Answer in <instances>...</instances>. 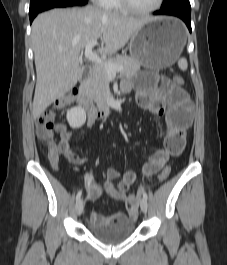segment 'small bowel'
<instances>
[{
	"label": "small bowel",
	"instance_id": "obj_1",
	"mask_svg": "<svg viewBox=\"0 0 227 265\" xmlns=\"http://www.w3.org/2000/svg\"><path fill=\"white\" fill-rule=\"evenodd\" d=\"M134 81H125L121 90L125 93L134 90L136 102L144 110L155 115L164 116L166 134L164 145L158 149L144 164L140 174L149 177L156 174L167 162L170 156L181 153L185 144V134L192 122V104L188 94L175 85L167 77L160 76L159 72H136ZM94 119L88 118L86 129H90ZM56 131L59 134L58 144L49 149V158L53 168H57L59 156H65L76 165L85 164L87 159L82 158L70 150L69 143L75 135L85 133L82 129L78 133L70 131L65 124H58ZM137 179V173L128 170L121 174L118 170L109 168L104 172V183H98L91 174H86V188L90 200H96L104 187L111 195L122 202L128 199V191ZM130 214L118 212L106 217L92 212L90 223L96 226H115L132 219Z\"/></svg>",
	"mask_w": 227,
	"mask_h": 265
}]
</instances>
